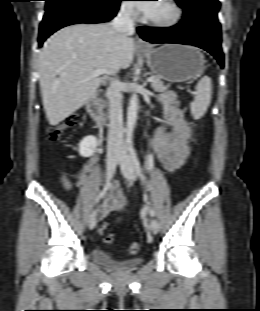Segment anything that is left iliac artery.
Returning <instances> with one entry per match:
<instances>
[{
	"label": "left iliac artery",
	"instance_id": "obj_1",
	"mask_svg": "<svg viewBox=\"0 0 260 311\" xmlns=\"http://www.w3.org/2000/svg\"><path fill=\"white\" fill-rule=\"evenodd\" d=\"M129 150H130L132 162H133L134 167H135V171H136L137 175L140 177L141 181L144 182V177H143V174H142L141 166H140L139 160L137 158V155L135 153V150H134L133 145H132L131 142L129 143ZM148 209H149L150 215L152 217H154L155 216V211L149 205H148Z\"/></svg>",
	"mask_w": 260,
	"mask_h": 311
}]
</instances>
